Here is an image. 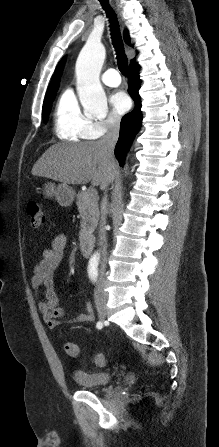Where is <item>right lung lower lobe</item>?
<instances>
[{"mask_svg": "<svg viewBox=\"0 0 219 447\" xmlns=\"http://www.w3.org/2000/svg\"><path fill=\"white\" fill-rule=\"evenodd\" d=\"M139 88V65L135 62L130 64L128 69V92L135 102V108L122 118L120 135L115 147V156L121 166L123 165L128 148L141 127L142 112L141 100L138 93Z\"/></svg>", "mask_w": 219, "mask_h": 447, "instance_id": "right-lung-lower-lobe-1", "label": "right lung lower lobe"}]
</instances>
